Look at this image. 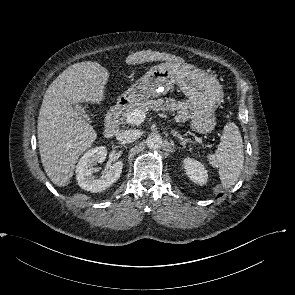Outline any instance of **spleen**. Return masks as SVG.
<instances>
[{
	"label": "spleen",
	"instance_id": "obj_1",
	"mask_svg": "<svg viewBox=\"0 0 295 295\" xmlns=\"http://www.w3.org/2000/svg\"><path fill=\"white\" fill-rule=\"evenodd\" d=\"M209 163L219 169L223 188H230L238 180L244 163L243 140L237 125L224 126L221 141L215 154L208 155Z\"/></svg>",
	"mask_w": 295,
	"mask_h": 295
}]
</instances>
